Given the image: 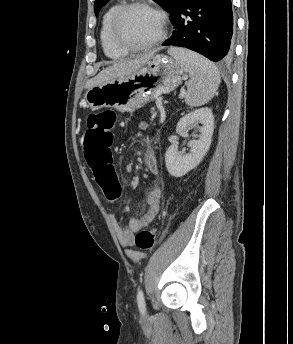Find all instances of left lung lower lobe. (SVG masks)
<instances>
[{
  "label": "left lung lower lobe",
  "instance_id": "obj_1",
  "mask_svg": "<svg viewBox=\"0 0 293 344\" xmlns=\"http://www.w3.org/2000/svg\"><path fill=\"white\" fill-rule=\"evenodd\" d=\"M171 23L175 30L163 46L185 47L214 62L232 59L231 0H180Z\"/></svg>",
  "mask_w": 293,
  "mask_h": 344
}]
</instances>
